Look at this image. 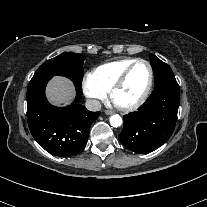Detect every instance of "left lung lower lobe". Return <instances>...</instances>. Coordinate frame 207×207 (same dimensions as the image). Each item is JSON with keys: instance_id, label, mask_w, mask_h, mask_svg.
Instances as JSON below:
<instances>
[{"instance_id": "left-lung-lower-lobe-1", "label": "left lung lower lobe", "mask_w": 207, "mask_h": 207, "mask_svg": "<svg viewBox=\"0 0 207 207\" xmlns=\"http://www.w3.org/2000/svg\"><path fill=\"white\" fill-rule=\"evenodd\" d=\"M180 104L177 82L155 88L138 111L124 116L120 142L136 153H149L172 135Z\"/></svg>"}]
</instances>
